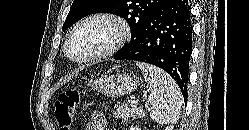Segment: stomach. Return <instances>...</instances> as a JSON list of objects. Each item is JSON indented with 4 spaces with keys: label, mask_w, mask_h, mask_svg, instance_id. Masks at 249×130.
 I'll use <instances>...</instances> for the list:
<instances>
[{
    "label": "stomach",
    "mask_w": 249,
    "mask_h": 130,
    "mask_svg": "<svg viewBox=\"0 0 249 130\" xmlns=\"http://www.w3.org/2000/svg\"><path fill=\"white\" fill-rule=\"evenodd\" d=\"M140 85V80L132 74H108L91 82L92 89L103 95L117 97L134 91Z\"/></svg>",
    "instance_id": "0dacf381"
}]
</instances>
